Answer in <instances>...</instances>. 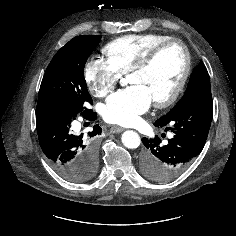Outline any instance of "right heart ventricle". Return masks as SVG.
<instances>
[{
	"label": "right heart ventricle",
	"instance_id": "e07e8e85",
	"mask_svg": "<svg viewBox=\"0 0 236 236\" xmlns=\"http://www.w3.org/2000/svg\"><path fill=\"white\" fill-rule=\"evenodd\" d=\"M170 38L169 35L157 33L126 35L108 42L103 52L122 75L128 73L152 47Z\"/></svg>",
	"mask_w": 236,
	"mask_h": 236
}]
</instances>
